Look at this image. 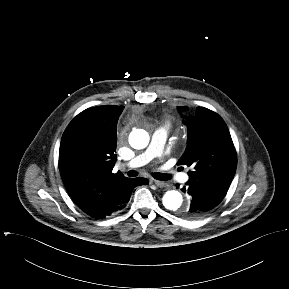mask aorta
<instances>
[{"label": "aorta", "mask_w": 289, "mask_h": 289, "mask_svg": "<svg viewBox=\"0 0 289 289\" xmlns=\"http://www.w3.org/2000/svg\"><path fill=\"white\" fill-rule=\"evenodd\" d=\"M129 143L134 149H143L147 147L149 143V135L145 130H136L129 137ZM163 206L171 211H178L184 207H188L183 203L182 194L176 190L167 191L162 198Z\"/></svg>", "instance_id": "1"}]
</instances>
